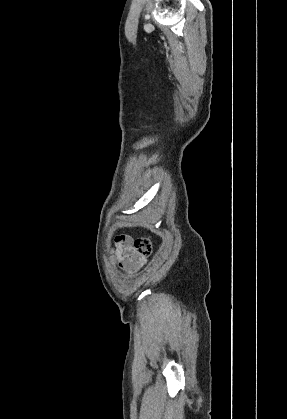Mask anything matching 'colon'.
<instances>
[{
    "mask_svg": "<svg viewBox=\"0 0 287 419\" xmlns=\"http://www.w3.org/2000/svg\"><path fill=\"white\" fill-rule=\"evenodd\" d=\"M134 248L138 253L142 255H148L152 250L151 243L147 239L143 238L135 240Z\"/></svg>",
    "mask_w": 287,
    "mask_h": 419,
    "instance_id": "5ec220e1",
    "label": "colon"
}]
</instances>
